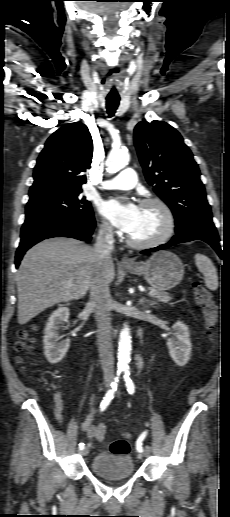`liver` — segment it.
Here are the masks:
<instances>
[{"instance_id": "1", "label": "liver", "mask_w": 230, "mask_h": 517, "mask_svg": "<svg viewBox=\"0 0 230 517\" xmlns=\"http://www.w3.org/2000/svg\"><path fill=\"white\" fill-rule=\"evenodd\" d=\"M98 268L94 247L70 238L44 240L23 257L16 273L18 323L23 325L54 304L83 298ZM114 280L112 258L106 269Z\"/></svg>"}]
</instances>
